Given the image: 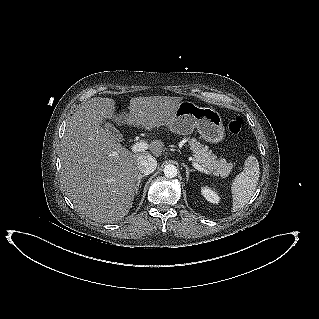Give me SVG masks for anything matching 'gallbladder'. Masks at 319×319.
I'll list each match as a JSON object with an SVG mask.
<instances>
[{
	"label": "gallbladder",
	"instance_id": "gallbladder-1",
	"mask_svg": "<svg viewBox=\"0 0 319 319\" xmlns=\"http://www.w3.org/2000/svg\"><path fill=\"white\" fill-rule=\"evenodd\" d=\"M105 130L116 140L119 142L123 141V136L122 134L113 126V124L108 123V122H103Z\"/></svg>",
	"mask_w": 319,
	"mask_h": 319
}]
</instances>
